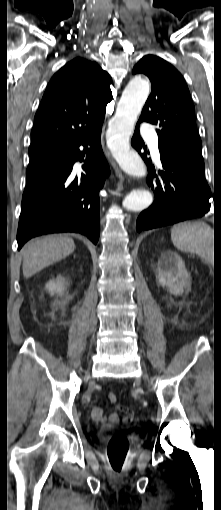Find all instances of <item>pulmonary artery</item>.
<instances>
[{"label":"pulmonary artery","instance_id":"obj_1","mask_svg":"<svg viewBox=\"0 0 221 510\" xmlns=\"http://www.w3.org/2000/svg\"><path fill=\"white\" fill-rule=\"evenodd\" d=\"M142 135L150 147L153 155L156 158H159V148H158V137L155 130L151 129L147 123L142 125Z\"/></svg>","mask_w":221,"mask_h":510}]
</instances>
